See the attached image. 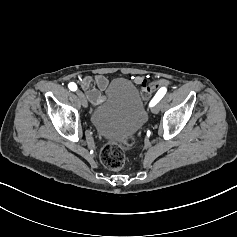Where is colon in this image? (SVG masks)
I'll return each mask as SVG.
<instances>
[{
	"label": "colon",
	"mask_w": 237,
	"mask_h": 237,
	"mask_svg": "<svg viewBox=\"0 0 237 237\" xmlns=\"http://www.w3.org/2000/svg\"><path fill=\"white\" fill-rule=\"evenodd\" d=\"M159 84L154 82L148 85L147 92L153 93ZM134 143V138L132 136L124 140V146L130 147ZM100 159L104 166L110 170H120L125 165V154L123 148L115 143H107L103 146L100 152Z\"/></svg>",
	"instance_id": "obj_1"
}]
</instances>
